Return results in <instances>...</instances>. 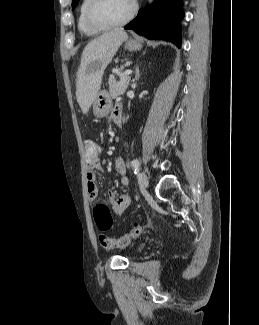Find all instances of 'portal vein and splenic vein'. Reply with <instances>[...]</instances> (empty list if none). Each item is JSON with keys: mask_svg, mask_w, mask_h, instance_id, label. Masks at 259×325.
<instances>
[{"mask_svg": "<svg viewBox=\"0 0 259 325\" xmlns=\"http://www.w3.org/2000/svg\"><path fill=\"white\" fill-rule=\"evenodd\" d=\"M132 73V70L128 69L124 72L125 75H130Z\"/></svg>", "mask_w": 259, "mask_h": 325, "instance_id": "portal-vein-and-splenic-vein-1", "label": "portal vein and splenic vein"}]
</instances>
